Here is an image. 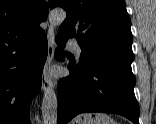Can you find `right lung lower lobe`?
<instances>
[{
	"mask_svg": "<svg viewBox=\"0 0 156 124\" xmlns=\"http://www.w3.org/2000/svg\"><path fill=\"white\" fill-rule=\"evenodd\" d=\"M47 54L42 29L0 44V124H30L29 105L40 90Z\"/></svg>",
	"mask_w": 156,
	"mask_h": 124,
	"instance_id": "obj_1",
	"label": "right lung lower lobe"
}]
</instances>
